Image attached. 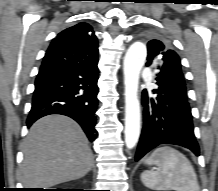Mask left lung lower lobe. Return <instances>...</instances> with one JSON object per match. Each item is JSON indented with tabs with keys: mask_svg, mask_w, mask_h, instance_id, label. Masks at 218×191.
Segmentation results:
<instances>
[{
	"mask_svg": "<svg viewBox=\"0 0 218 191\" xmlns=\"http://www.w3.org/2000/svg\"><path fill=\"white\" fill-rule=\"evenodd\" d=\"M156 80V89L142 92L144 125L135 160L165 143L184 146L199 156L187 96L175 90L164 92L159 77Z\"/></svg>",
	"mask_w": 218,
	"mask_h": 191,
	"instance_id": "0a47b994",
	"label": "left lung lower lobe"
}]
</instances>
